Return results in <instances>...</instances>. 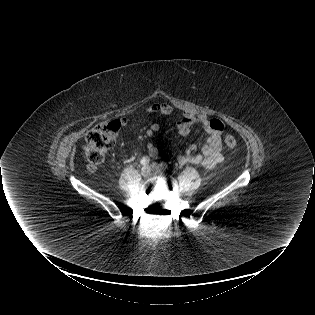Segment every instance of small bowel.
<instances>
[{"mask_svg": "<svg viewBox=\"0 0 315 315\" xmlns=\"http://www.w3.org/2000/svg\"><path fill=\"white\" fill-rule=\"evenodd\" d=\"M146 113H159L168 116L172 113L173 109L166 103H156L146 108ZM121 127L125 126L128 122L126 118L117 120ZM160 126L158 123H151L147 130L146 135L152 137ZM224 130V124L220 119H210L206 115H196L190 111L182 112V119L176 124V131L181 136H187L194 133L197 140L200 141L202 132L207 134V138L198 152V144L194 143L187 147V149L177 156V160L181 164H194L202 166L207 169H212L224 160L222 153L221 134ZM147 151L152 158H159L160 153L156 145L152 142L147 144Z\"/></svg>", "mask_w": 315, "mask_h": 315, "instance_id": "c3829d8e", "label": "small bowel"}]
</instances>
